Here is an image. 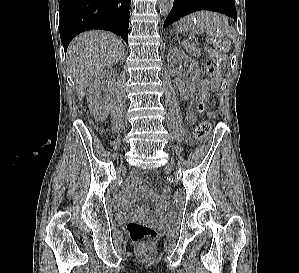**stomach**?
I'll list each match as a JSON object with an SVG mask.
<instances>
[{
	"label": "stomach",
	"mask_w": 299,
	"mask_h": 273,
	"mask_svg": "<svg viewBox=\"0 0 299 273\" xmlns=\"http://www.w3.org/2000/svg\"><path fill=\"white\" fill-rule=\"evenodd\" d=\"M204 27L196 24H192L190 27H188L187 31H190L193 34L202 33L204 31Z\"/></svg>",
	"instance_id": "stomach-1"
}]
</instances>
